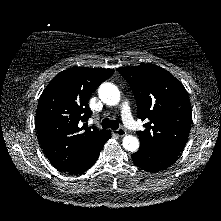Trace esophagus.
I'll list each match as a JSON object with an SVG mask.
<instances>
[{
  "label": "esophagus",
  "mask_w": 221,
  "mask_h": 221,
  "mask_svg": "<svg viewBox=\"0 0 221 221\" xmlns=\"http://www.w3.org/2000/svg\"><path fill=\"white\" fill-rule=\"evenodd\" d=\"M113 134L117 135V136H120V137H123L126 135V130L123 129V128H119L117 130H113Z\"/></svg>",
  "instance_id": "1"
}]
</instances>
